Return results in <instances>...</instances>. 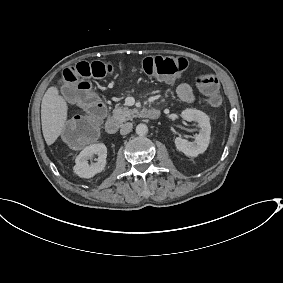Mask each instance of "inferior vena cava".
Returning a JSON list of instances; mask_svg holds the SVG:
<instances>
[{"mask_svg":"<svg viewBox=\"0 0 283 283\" xmlns=\"http://www.w3.org/2000/svg\"><path fill=\"white\" fill-rule=\"evenodd\" d=\"M133 128V124L130 122H127L125 124L121 125V129H120V134L121 135H126L128 134Z\"/></svg>","mask_w":283,"mask_h":283,"instance_id":"inferior-vena-cava-1","label":"inferior vena cava"}]
</instances>
